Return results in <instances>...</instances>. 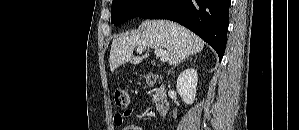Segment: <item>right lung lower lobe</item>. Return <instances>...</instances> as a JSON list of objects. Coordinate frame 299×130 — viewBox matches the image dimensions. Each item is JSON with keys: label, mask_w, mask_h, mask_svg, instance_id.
<instances>
[{"label": "right lung lower lobe", "mask_w": 299, "mask_h": 130, "mask_svg": "<svg viewBox=\"0 0 299 130\" xmlns=\"http://www.w3.org/2000/svg\"><path fill=\"white\" fill-rule=\"evenodd\" d=\"M231 0H156L141 15L146 19H169L195 32L222 59L226 46Z\"/></svg>", "instance_id": "right-lung-lower-lobe-1"}]
</instances>
